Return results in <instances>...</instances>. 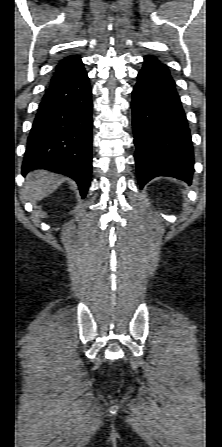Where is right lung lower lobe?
Returning a JSON list of instances; mask_svg holds the SVG:
<instances>
[{
	"label": "right lung lower lobe",
	"instance_id": "1",
	"mask_svg": "<svg viewBox=\"0 0 222 447\" xmlns=\"http://www.w3.org/2000/svg\"><path fill=\"white\" fill-rule=\"evenodd\" d=\"M92 89L82 61L47 88L27 140L22 174L47 169L74 179L82 198L92 168Z\"/></svg>",
	"mask_w": 222,
	"mask_h": 447
}]
</instances>
